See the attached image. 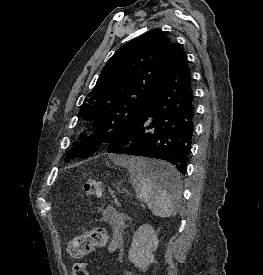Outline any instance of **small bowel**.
<instances>
[{"label":"small bowel","mask_w":263,"mask_h":275,"mask_svg":"<svg viewBox=\"0 0 263 275\" xmlns=\"http://www.w3.org/2000/svg\"><path fill=\"white\" fill-rule=\"evenodd\" d=\"M99 222L108 225L111 229V237L106 238L101 246H107L111 253L118 252L119 258H123V233L127 227V217L116 212L113 208H105L100 211ZM106 233V232H105Z\"/></svg>","instance_id":"c3829d8e"}]
</instances>
